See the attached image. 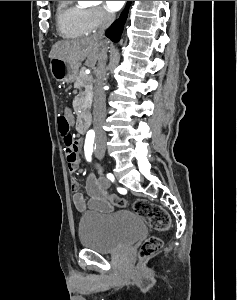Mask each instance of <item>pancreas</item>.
Instances as JSON below:
<instances>
[{
	"instance_id": "1",
	"label": "pancreas",
	"mask_w": 237,
	"mask_h": 300,
	"mask_svg": "<svg viewBox=\"0 0 237 300\" xmlns=\"http://www.w3.org/2000/svg\"><path fill=\"white\" fill-rule=\"evenodd\" d=\"M74 81V87H76V89H82V87L85 89L83 93H78V95H76L73 101L74 111L81 119H87L88 115H90L89 103L91 101L90 97L94 79L92 75H86L85 69L82 67Z\"/></svg>"
}]
</instances>
